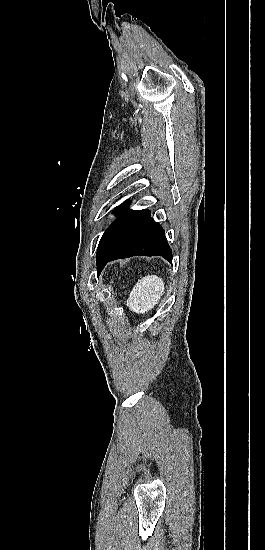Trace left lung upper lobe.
I'll use <instances>...</instances> for the list:
<instances>
[{"label":"left lung upper lobe","instance_id":"left-lung-upper-lobe-1","mask_svg":"<svg viewBox=\"0 0 265 550\" xmlns=\"http://www.w3.org/2000/svg\"><path fill=\"white\" fill-rule=\"evenodd\" d=\"M130 201L116 207L114 213L118 218L106 229L97 249V256H104L112 251L149 213V210H130Z\"/></svg>","mask_w":265,"mask_h":550}]
</instances>
